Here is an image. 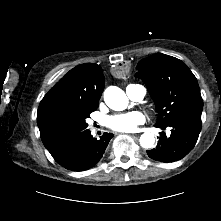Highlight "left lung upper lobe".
<instances>
[{"label": "left lung upper lobe", "instance_id": "left-lung-upper-lobe-1", "mask_svg": "<svg viewBox=\"0 0 221 221\" xmlns=\"http://www.w3.org/2000/svg\"><path fill=\"white\" fill-rule=\"evenodd\" d=\"M137 77L147 84L158 108L157 125L194 112H202L203 99L196 77L179 59L157 53L137 66Z\"/></svg>", "mask_w": 221, "mask_h": 221}]
</instances>
